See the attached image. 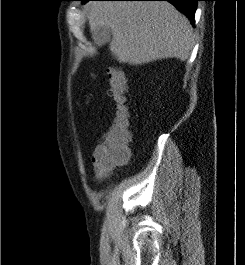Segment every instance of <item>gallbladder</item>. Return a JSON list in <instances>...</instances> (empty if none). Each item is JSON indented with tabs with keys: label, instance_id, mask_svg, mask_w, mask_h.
Masks as SVG:
<instances>
[{
	"label": "gallbladder",
	"instance_id": "gallbladder-1",
	"mask_svg": "<svg viewBox=\"0 0 245 265\" xmlns=\"http://www.w3.org/2000/svg\"><path fill=\"white\" fill-rule=\"evenodd\" d=\"M91 33L94 44L98 47L110 42L112 36L111 29L105 26H99L96 29L92 30Z\"/></svg>",
	"mask_w": 245,
	"mask_h": 265
}]
</instances>
